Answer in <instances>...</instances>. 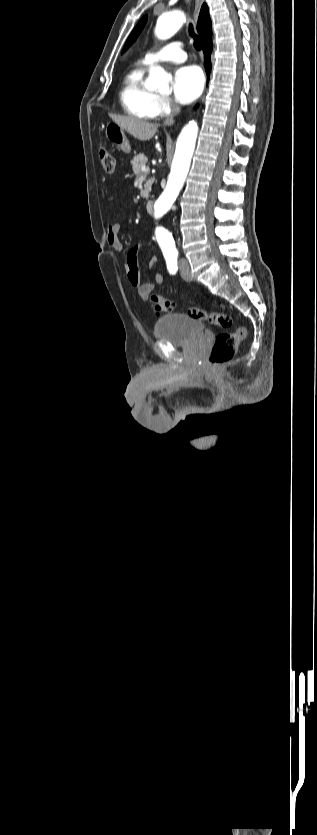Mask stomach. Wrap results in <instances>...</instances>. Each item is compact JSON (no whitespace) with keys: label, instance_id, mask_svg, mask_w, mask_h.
<instances>
[{"label":"stomach","instance_id":"0dacf381","mask_svg":"<svg viewBox=\"0 0 317 835\" xmlns=\"http://www.w3.org/2000/svg\"><path fill=\"white\" fill-rule=\"evenodd\" d=\"M106 138L109 142L121 149L124 153L131 152V145L127 139L124 129L115 122H109L105 128Z\"/></svg>","mask_w":317,"mask_h":835}]
</instances>
